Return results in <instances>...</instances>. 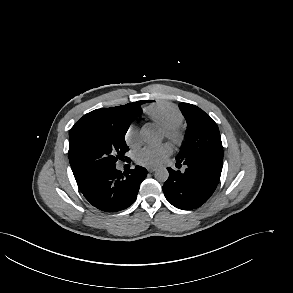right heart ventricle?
<instances>
[{
  "mask_svg": "<svg viewBox=\"0 0 293 293\" xmlns=\"http://www.w3.org/2000/svg\"><path fill=\"white\" fill-rule=\"evenodd\" d=\"M147 117L163 129L178 127L182 124L184 117L180 110L173 104L160 102L149 106L145 110Z\"/></svg>",
  "mask_w": 293,
  "mask_h": 293,
  "instance_id": "e07e8e85",
  "label": "right heart ventricle"
}]
</instances>
